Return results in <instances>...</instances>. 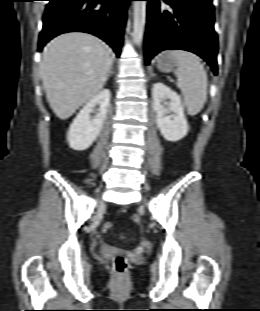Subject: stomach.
Wrapping results in <instances>:
<instances>
[{
	"label": "stomach",
	"instance_id": "0dacf381",
	"mask_svg": "<svg viewBox=\"0 0 260 311\" xmlns=\"http://www.w3.org/2000/svg\"><path fill=\"white\" fill-rule=\"evenodd\" d=\"M156 66L162 72H171L177 67V63L174 58L169 56V52H164L156 59Z\"/></svg>",
	"mask_w": 260,
	"mask_h": 311
}]
</instances>
